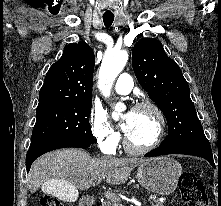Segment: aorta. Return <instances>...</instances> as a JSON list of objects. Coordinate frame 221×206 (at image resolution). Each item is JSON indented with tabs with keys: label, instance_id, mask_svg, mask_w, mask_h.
<instances>
[{
	"label": "aorta",
	"instance_id": "1",
	"mask_svg": "<svg viewBox=\"0 0 221 206\" xmlns=\"http://www.w3.org/2000/svg\"><path fill=\"white\" fill-rule=\"evenodd\" d=\"M128 61V53L126 50H115L108 52L102 61L99 76L98 85L105 97L110 96V91L116 77L123 70ZM115 111L112 113L114 118L118 117V113L124 109L122 103H117L114 107Z\"/></svg>",
	"mask_w": 221,
	"mask_h": 206
}]
</instances>
